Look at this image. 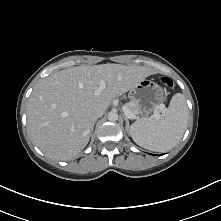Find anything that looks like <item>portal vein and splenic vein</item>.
<instances>
[{"mask_svg": "<svg viewBox=\"0 0 221 221\" xmlns=\"http://www.w3.org/2000/svg\"><path fill=\"white\" fill-rule=\"evenodd\" d=\"M105 87H106L105 81L101 80L100 83H99V87L95 90V95L96 96L101 95V93L105 89ZM163 107H164V105L158 106V110L155 111V113L153 115V118H155V119H160L161 118L159 110L162 109ZM122 109H123V112H124V114L127 118H129V119H135L136 118V115L134 113H132L126 105H123Z\"/></svg>", "mask_w": 221, "mask_h": 221, "instance_id": "1", "label": "portal vein and splenic vein"}]
</instances>
